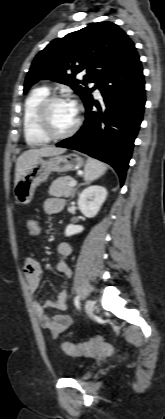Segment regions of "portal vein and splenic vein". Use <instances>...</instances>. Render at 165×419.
<instances>
[{
  "label": "portal vein and splenic vein",
  "mask_w": 165,
  "mask_h": 419,
  "mask_svg": "<svg viewBox=\"0 0 165 419\" xmlns=\"http://www.w3.org/2000/svg\"><path fill=\"white\" fill-rule=\"evenodd\" d=\"M71 187H74L77 185V181L76 180H72L69 184Z\"/></svg>",
  "instance_id": "18ae733b"
}]
</instances>
